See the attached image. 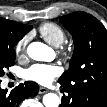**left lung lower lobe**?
I'll use <instances>...</instances> for the list:
<instances>
[{
	"instance_id": "obj_1",
	"label": "left lung lower lobe",
	"mask_w": 107,
	"mask_h": 107,
	"mask_svg": "<svg viewBox=\"0 0 107 107\" xmlns=\"http://www.w3.org/2000/svg\"><path fill=\"white\" fill-rule=\"evenodd\" d=\"M63 95L60 107H70L69 101L72 100L73 90L61 85ZM81 107H107V80L105 78L97 79L93 82H84L82 84V102Z\"/></svg>"
}]
</instances>
